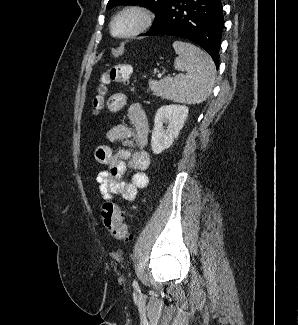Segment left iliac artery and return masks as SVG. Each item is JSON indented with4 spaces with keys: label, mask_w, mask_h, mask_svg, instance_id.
I'll use <instances>...</instances> for the list:
<instances>
[{
    "label": "left iliac artery",
    "mask_w": 298,
    "mask_h": 325,
    "mask_svg": "<svg viewBox=\"0 0 298 325\" xmlns=\"http://www.w3.org/2000/svg\"><path fill=\"white\" fill-rule=\"evenodd\" d=\"M133 286H134V287H137V286H138L137 281H135V280L133 281Z\"/></svg>",
    "instance_id": "left-iliac-artery-1"
}]
</instances>
